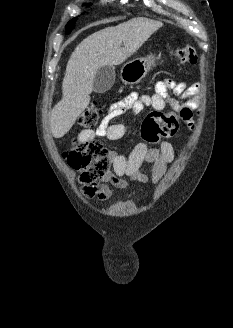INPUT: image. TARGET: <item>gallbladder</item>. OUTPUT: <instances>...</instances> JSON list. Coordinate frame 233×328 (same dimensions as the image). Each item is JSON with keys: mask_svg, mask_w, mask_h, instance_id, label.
I'll return each instance as SVG.
<instances>
[{"mask_svg": "<svg viewBox=\"0 0 233 328\" xmlns=\"http://www.w3.org/2000/svg\"><path fill=\"white\" fill-rule=\"evenodd\" d=\"M115 68L110 65L101 67L94 78L93 91L96 93H104L108 91L115 82Z\"/></svg>", "mask_w": 233, "mask_h": 328, "instance_id": "1", "label": "gallbladder"}]
</instances>
